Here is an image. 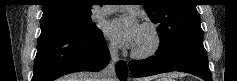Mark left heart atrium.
<instances>
[{
	"mask_svg": "<svg viewBox=\"0 0 237 81\" xmlns=\"http://www.w3.org/2000/svg\"><path fill=\"white\" fill-rule=\"evenodd\" d=\"M142 27L133 16H125L112 21L108 35L124 47L134 48L140 37Z\"/></svg>",
	"mask_w": 237,
	"mask_h": 81,
	"instance_id": "39dd6f15",
	"label": "left heart atrium"
}]
</instances>
